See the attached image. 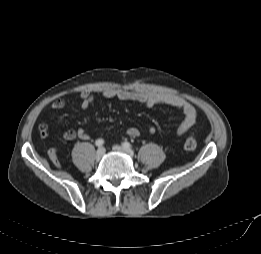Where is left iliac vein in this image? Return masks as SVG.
<instances>
[{"label": "left iliac vein", "instance_id": "left-iliac-vein-1", "mask_svg": "<svg viewBox=\"0 0 261 254\" xmlns=\"http://www.w3.org/2000/svg\"><path fill=\"white\" fill-rule=\"evenodd\" d=\"M113 150L117 151V152L124 153V154H126V155H128L130 157H133V155H134V153H133V151L131 149H126V148H124L122 146H119V145L113 146Z\"/></svg>", "mask_w": 261, "mask_h": 254}]
</instances>
